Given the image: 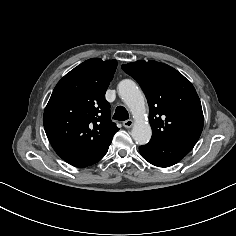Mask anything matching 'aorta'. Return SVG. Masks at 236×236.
<instances>
[{"instance_id":"1","label":"aorta","mask_w":236,"mask_h":236,"mask_svg":"<svg viewBox=\"0 0 236 236\" xmlns=\"http://www.w3.org/2000/svg\"><path fill=\"white\" fill-rule=\"evenodd\" d=\"M118 94L129 107L135 118L131 136L137 144L143 145L151 139L152 131L148 122L144 121L146 113L145 101L142 91L130 79L122 80L117 87Z\"/></svg>"}]
</instances>
